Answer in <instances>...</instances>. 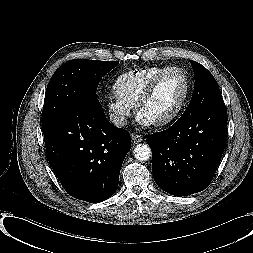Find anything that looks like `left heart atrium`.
Returning <instances> with one entry per match:
<instances>
[{
	"mask_svg": "<svg viewBox=\"0 0 253 253\" xmlns=\"http://www.w3.org/2000/svg\"><path fill=\"white\" fill-rule=\"evenodd\" d=\"M141 122L144 123V124H149V122L143 118H140Z\"/></svg>",
	"mask_w": 253,
	"mask_h": 253,
	"instance_id": "obj_1",
	"label": "left heart atrium"
}]
</instances>
